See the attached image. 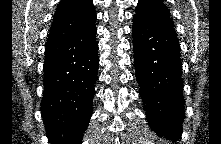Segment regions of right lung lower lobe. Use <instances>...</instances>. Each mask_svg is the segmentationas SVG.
Masks as SVG:
<instances>
[{
  "label": "right lung lower lobe",
  "instance_id": "obj_1",
  "mask_svg": "<svg viewBox=\"0 0 221 144\" xmlns=\"http://www.w3.org/2000/svg\"><path fill=\"white\" fill-rule=\"evenodd\" d=\"M95 23L46 46L41 116L52 144H80L92 115L98 78Z\"/></svg>",
  "mask_w": 221,
  "mask_h": 144
}]
</instances>
